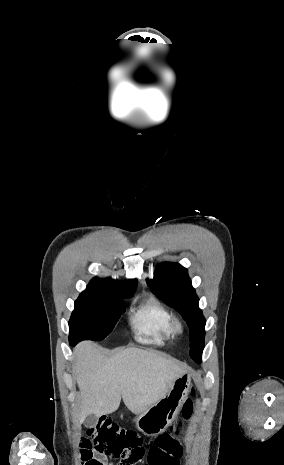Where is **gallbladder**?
Returning <instances> with one entry per match:
<instances>
[{
	"label": "gallbladder",
	"instance_id": "gallbladder-1",
	"mask_svg": "<svg viewBox=\"0 0 284 465\" xmlns=\"http://www.w3.org/2000/svg\"><path fill=\"white\" fill-rule=\"evenodd\" d=\"M98 423V417L95 415H88L87 419L84 421L85 427H95Z\"/></svg>",
	"mask_w": 284,
	"mask_h": 465
}]
</instances>
